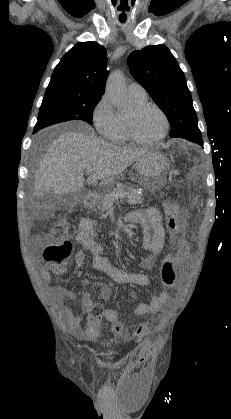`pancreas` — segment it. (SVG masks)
<instances>
[{"mask_svg":"<svg viewBox=\"0 0 231 419\" xmlns=\"http://www.w3.org/2000/svg\"><path fill=\"white\" fill-rule=\"evenodd\" d=\"M120 193H128L126 196V202L130 205H136L141 204L143 202L142 193H139L136 188L128 187V186H120L117 188H114L109 193L105 194L98 203V208L101 211H106L110 207L113 206V204L119 199L115 198V195Z\"/></svg>","mask_w":231,"mask_h":419,"instance_id":"obj_1","label":"pancreas"}]
</instances>
